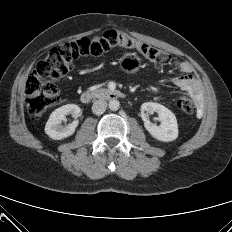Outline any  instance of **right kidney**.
<instances>
[{
    "label": "right kidney",
    "mask_w": 232,
    "mask_h": 232,
    "mask_svg": "<svg viewBox=\"0 0 232 232\" xmlns=\"http://www.w3.org/2000/svg\"><path fill=\"white\" fill-rule=\"evenodd\" d=\"M80 111V107L75 104H67L57 108L51 113L45 125V133L54 140H61L71 136L75 132L78 120L73 121L67 126H62L61 123L70 114L78 118Z\"/></svg>",
    "instance_id": "right-kidney-1"
}]
</instances>
